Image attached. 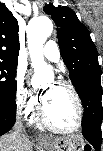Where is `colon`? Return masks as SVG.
Here are the masks:
<instances>
[{
  "label": "colon",
  "mask_w": 103,
  "mask_h": 151,
  "mask_svg": "<svg viewBox=\"0 0 103 151\" xmlns=\"http://www.w3.org/2000/svg\"><path fill=\"white\" fill-rule=\"evenodd\" d=\"M84 151H91V149L88 148V147H85V148H84Z\"/></svg>",
  "instance_id": "colon-1"
}]
</instances>
